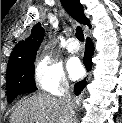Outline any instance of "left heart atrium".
Instances as JSON below:
<instances>
[{
    "label": "left heart atrium",
    "mask_w": 122,
    "mask_h": 123,
    "mask_svg": "<svg viewBox=\"0 0 122 123\" xmlns=\"http://www.w3.org/2000/svg\"><path fill=\"white\" fill-rule=\"evenodd\" d=\"M67 70H68V73L72 79H78L84 73V69H83L79 59L76 57L69 59V61L67 63Z\"/></svg>",
    "instance_id": "left-heart-atrium-1"
}]
</instances>
